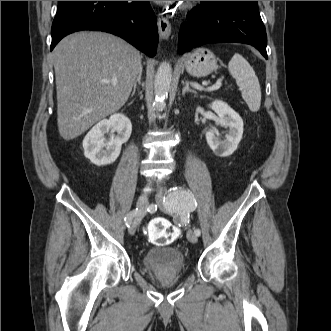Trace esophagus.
I'll list each match as a JSON object with an SVG mask.
<instances>
[{
  "mask_svg": "<svg viewBox=\"0 0 331 331\" xmlns=\"http://www.w3.org/2000/svg\"><path fill=\"white\" fill-rule=\"evenodd\" d=\"M157 25L160 38L168 39L171 35V24L167 18L162 15H159L157 18Z\"/></svg>",
  "mask_w": 331,
  "mask_h": 331,
  "instance_id": "1",
  "label": "esophagus"
}]
</instances>
